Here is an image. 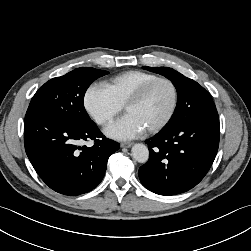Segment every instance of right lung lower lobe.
I'll return each instance as SVG.
<instances>
[{
  "label": "right lung lower lobe",
  "mask_w": 251,
  "mask_h": 251,
  "mask_svg": "<svg viewBox=\"0 0 251 251\" xmlns=\"http://www.w3.org/2000/svg\"><path fill=\"white\" fill-rule=\"evenodd\" d=\"M93 140L92 147L78 146ZM27 156L41 179L54 191L75 196L94 189L119 143L106 139L95 123L74 126L41 112H27L24 122Z\"/></svg>",
  "instance_id": "98d812e1"
}]
</instances>
